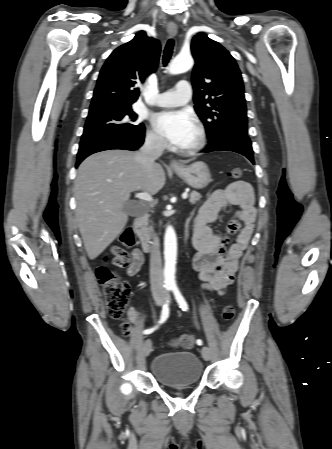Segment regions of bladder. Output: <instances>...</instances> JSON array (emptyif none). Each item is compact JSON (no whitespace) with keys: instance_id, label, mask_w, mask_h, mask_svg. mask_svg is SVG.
Returning a JSON list of instances; mask_svg holds the SVG:
<instances>
[{"instance_id":"bladder-1","label":"bladder","mask_w":332,"mask_h":449,"mask_svg":"<svg viewBox=\"0 0 332 449\" xmlns=\"http://www.w3.org/2000/svg\"><path fill=\"white\" fill-rule=\"evenodd\" d=\"M151 373L165 387L193 386L202 379L203 365L192 352H167L153 359Z\"/></svg>"}]
</instances>
